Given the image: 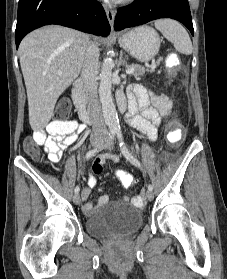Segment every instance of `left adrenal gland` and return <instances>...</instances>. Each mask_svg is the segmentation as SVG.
Here are the masks:
<instances>
[{
	"label": "left adrenal gland",
	"instance_id": "a2214340",
	"mask_svg": "<svg viewBox=\"0 0 227 279\" xmlns=\"http://www.w3.org/2000/svg\"><path fill=\"white\" fill-rule=\"evenodd\" d=\"M122 56H123V53L121 52L120 53V58H119V66H121L122 63H123Z\"/></svg>",
	"mask_w": 227,
	"mask_h": 279
}]
</instances>
